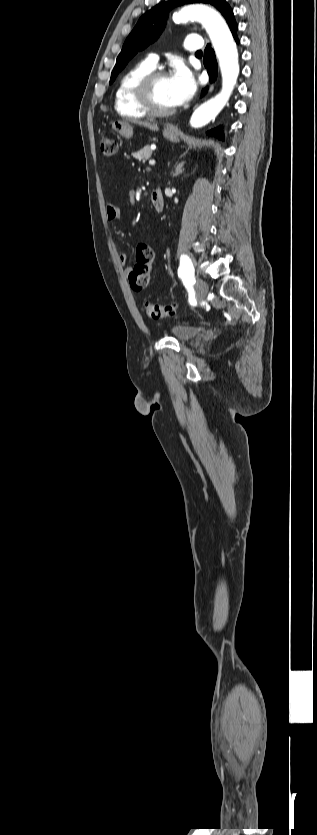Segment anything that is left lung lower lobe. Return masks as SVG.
<instances>
[{
    "mask_svg": "<svg viewBox=\"0 0 317 835\" xmlns=\"http://www.w3.org/2000/svg\"><path fill=\"white\" fill-rule=\"evenodd\" d=\"M225 19H226V21H227V23L230 27V30H231L236 42L238 43L239 40H238L237 35H236L237 24H236V21L234 19V15H233L232 10H230L228 12ZM204 65L207 68V72H208L209 77H210V82H213L217 77L218 67H217V62H216L214 51L211 49L210 44L207 45V47L204 51ZM205 93H206V90H203V94H205ZM207 134L211 135V136H216L220 139H223V131H222L221 128H215L213 130H210V131L207 132Z\"/></svg>",
    "mask_w": 317,
    "mask_h": 835,
    "instance_id": "obj_1",
    "label": "left lung lower lobe"
}]
</instances>
